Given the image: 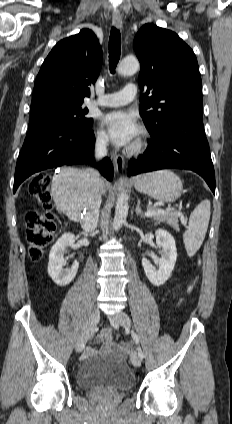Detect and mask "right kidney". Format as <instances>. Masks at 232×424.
<instances>
[{
    "label": "right kidney",
    "mask_w": 232,
    "mask_h": 424,
    "mask_svg": "<svg viewBox=\"0 0 232 424\" xmlns=\"http://www.w3.org/2000/svg\"><path fill=\"white\" fill-rule=\"evenodd\" d=\"M75 236L71 233L63 234L51 248L49 254L48 274L58 286L68 285L76 276L79 262L74 261L71 268L65 266L64 253L67 247H73Z\"/></svg>",
    "instance_id": "obj_1"
}]
</instances>
